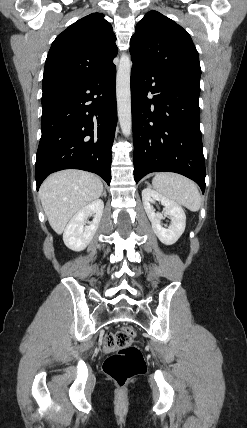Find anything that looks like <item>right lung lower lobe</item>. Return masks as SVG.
Masks as SVG:
<instances>
[{"instance_id": "98d812e1", "label": "right lung lower lobe", "mask_w": 247, "mask_h": 428, "mask_svg": "<svg viewBox=\"0 0 247 428\" xmlns=\"http://www.w3.org/2000/svg\"><path fill=\"white\" fill-rule=\"evenodd\" d=\"M42 108L37 190L50 173L69 168L96 173L109 185L117 123L116 66L80 84L44 91Z\"/></svg>"}]
</instances>
